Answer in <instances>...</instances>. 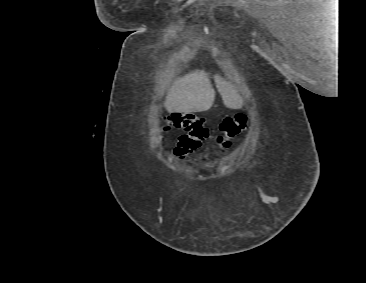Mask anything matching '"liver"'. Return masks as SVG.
Wrapping results in <instances>:
<instances>
[{
  "mask_svg": "<svg viewBox=\"0 0 366 283\" xmlns=\"http://www.w3.org/2000/svg\"><path fill=\"white\" fill-rule=\"evenodd\" d=\"M216 87L221 94L224 105L230 109H240L242 98L228 82L215 76ZM215 99V91L208 74L195 71L180 78L173 85L166 97L165 106L169 113H191L209 110Z\"/></svg>",
  "mask_w": 366,
  "mask_h": 283,
  "instance_id": "6515ba94",
  "label": "liver"
}]
</instances>
